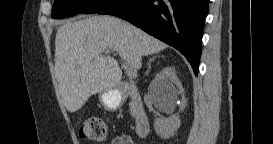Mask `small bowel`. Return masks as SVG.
Wrapping results in <instances>:
<instances>
[{
	"mask_svg": "<svg viewBox=\"0 0 273 144\" xmlns=\"http://www.w3.org/2000/svg\"><path fill=\"white\" fill-rule=\"evenodd\" d=\"M110 143L111 144H131L132 139L128 135H121V136H117V137L113 138L110 141Z\"/></svg>",
	"mask_w": 273,
	"mask_h": 144,
	"instance_id": "small-bowel-1",
	"label": "small bowel"
}]
</instances>
